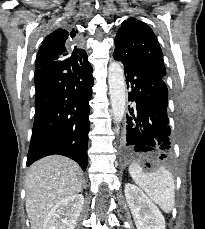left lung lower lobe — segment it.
<instances>
[{
	"label": "left lung lower lobe",
	"instance_id": "1",
	"mask_svg": "<svg viewBox=\"0 0 205 229\" xmlns=\"http://www.w3.org/2000/svg\"><path fill=\"white\" fill-rule=\"evenodd\" d=\"M115 60L124 65L129 101L126 121L124 155L129 157L139 151H151L158 159L171 157L172 139L167 117L168 90L164 78L129 61L119 52Z\"/></svg>",
	"mask_w": 205,
	"mask_h": 229
}]
</instances>
